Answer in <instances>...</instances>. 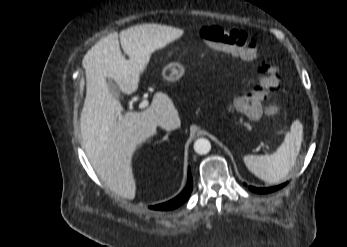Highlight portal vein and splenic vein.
I'll return each mask as SVG.
<instances>
[{
    "instance_id": "18ae733b",
    "label": "portal vein and splenic vein",
    "mask_w": 347,
    "mask_h": 247,
    "mask_svg": "<svg viewBox=\"0 0 347 247\" xmlns=\"http://www.w3.org/2000/svg\"><path fill=\"white\" fill-rule=\"evenodd\" d=\"M149 105V101L146 99V98H144L142 101H141V103L139 104V108H145V107H147Z\"/></svg>"
}]
</instances>
